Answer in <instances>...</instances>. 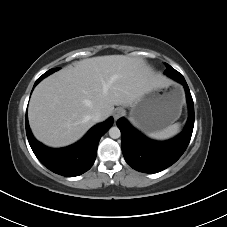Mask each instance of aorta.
Returning a JSON list of instances; mask_svg holds the SVG:
<instances>
[{"label": "aorta", "mask_w": 227, "mask_h": 227, "mask_svg": "<svg viewBox=\"0 0 227 227\" xmlns=\"http://www.w3.org/2000/svg\"><path fill=\"white\" fill-rule=\"evenodd\" d=\"M109 136L113 139H117L121 136L120 129L118 127H111L109 129Z\"/></svg>", "instance_id": "762f6f07"}]
</instances>
